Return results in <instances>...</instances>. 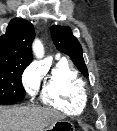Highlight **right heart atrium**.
I'll return each mask as SVG.
<instances>
[{
  "mask_svg": "<svg viewBox=\"0 0 117 131\" xmlns=\"http://www.w3.org/2000/svg\"><path fill=\"white\" fill-rule=\"evenodd\" d=\"M41 74L34 66H29L22 75V82L26 91L33 95L39 88Z\"/></svg>",
  "mask_w": 117,
  "mask_h": 131,
  "instance_id": "obj_1",
  "label": "right heart atrium"
}]
</instances>
